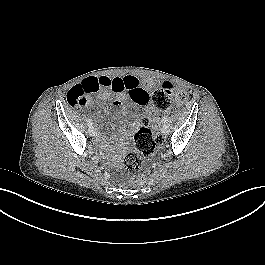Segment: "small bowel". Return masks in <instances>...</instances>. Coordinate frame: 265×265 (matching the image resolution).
<instances>
[{
	"label": "small bowel",
	"mask_w": 265,
	"mask_h": 265,
	"mask_svg": "<svg viewBox=\"0 0 265 265\" xmlns=\"http://www.w3.org/2000/svg\"><path fill=\"white\" fill-rule=\"evenodd\" d=\"M91 80L98 86L95 92H97L99 99L108 100L112 97V94L116 95L112 101L114 107H121L127 98L135 102L133 127L136 128L139 126L143 112L149 109L152 101L150 93L155 86L153 81L141 83L135 76L130 75L123 77L101 76L92 78ZM81 88L86 90L84 83L81 85ZM93 93L87 94L86 102L83 106H93L95 104L96 97L91 95ZM126 136L127 132H123L122 137L125 138Z\"/></svg>",
	"instance_id": "c3829d8e"
}]
</instances>
